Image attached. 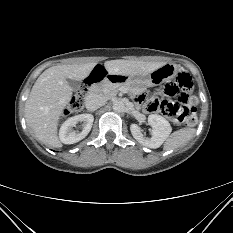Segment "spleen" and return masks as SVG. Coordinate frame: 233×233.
<instances>
[{
    "mask_svg": "<svg viewBox=\"0 0 233 233\" xmlns=\"http://www.w3.org/2000/svg\"><path fill=\"white\" fill-rule=\"evenodd\" d=\"M195 129L182 128L171 134L164 144V150H172L186 145L194 136Z\"/></svg>",
    "mask_w": 233,
    "mask_h": 233,
    "instance_id": "obj_1",
    "label": "spleen"
}]
</instances>
